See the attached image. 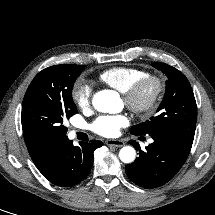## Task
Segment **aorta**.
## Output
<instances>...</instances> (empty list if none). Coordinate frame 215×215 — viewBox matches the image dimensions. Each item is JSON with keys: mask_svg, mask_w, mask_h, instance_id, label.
<instances>
[{"mask_svg": "<svg viewBox=\"0 0 215 215\" xmlns=\"http://www.w3.org/2000/svg\"><path fill=\"white\" fill-rule=\"evenodd\" d=\"M92 104L97 111L104 113H117L121 110L122 102L117 92L112 90H102L97 92L92 100ZM136 151L131 146L123 147L119 152V157L124 163L134 161Z\"/></svg>", "mask_w": 215, "mask_h": 215, "instance_id": "aorta-1", "label": "aorta"}]
</instances>
